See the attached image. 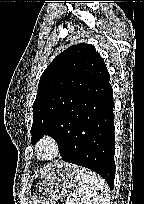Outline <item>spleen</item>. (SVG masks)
<instances>
[{"instance_id":"spleen-1","label":"spleen","mask_w":144,"mask_h":204,"mask_svg":"<svg viewBox=\"0 0 144 204\" xmlns=\"http://www.w3.org/2000/svg\"><path fill=\"white\" fill-rule=\"evenodd\" d=\"M109 188L105 180L97 173L82 169L80 172L79 191L67 196L66 204H110Z\"/></svg>"}]
</instances>
